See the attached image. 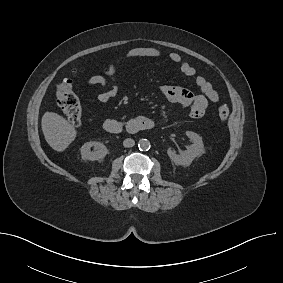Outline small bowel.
Here are the masks:
<instances>
[{
	"mask_svg": "<svg viewBox=\"0 0 283 283\" xmlns=\"http://www.w3.org/2000/svg\"><path fill=\"white\" fill-rule=\"evenodd\" d=\"M163 53L154 47H135L128 50L121 57L109 63L102 71L89 77L86 81L88 86H100L102 91L95 96L96 101L105 103L117 96L119 86L116 82L119 65L127 60L138 58H161ZM167 58L172 63L178 65L180 72L195 79V84L199 93L194 94L190 90L173 85H162L159 87L161 95L172 103L179 104L183 109H187L192 118L204 116L209 102L216 103L219 100L217 91L212 84L202 75H198L195 68L185 61L178 53L170 52Z\"/></svg>",
	"mask_w": 283,
	"mask_h": 283,
	"instance_id": "small-bowel-1",
	"label": "small bowel"
}]
</instances>
